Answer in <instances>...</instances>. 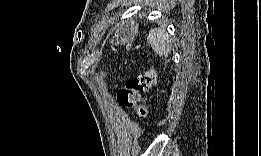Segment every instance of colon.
<instances>
[{
    "instance_id": "obj_1",
    "label": "colon",
    "mask_w": 261,
    "mask_h": 156,
    "mask_svg": "<svg viewBox=\"0 0 261 156\" xmlns=\"http://www.w3.org/2000/svg\"><path fill=\"white\" fill-rule=\"evenodd\" d=\"M157 82V72L147 70L144 74L128 78L117 93L120 106L134 109L137 114L146 118L149 114L148 107L141 102L143 94L147 93Z\"/></svg>"
}]
</instances>
